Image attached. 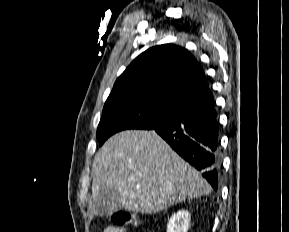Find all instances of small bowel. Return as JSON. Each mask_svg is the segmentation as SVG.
<instances>
[{
    "mask_svg": "<svg viewBox=\"0 0 289 232\" xmlns=\"http://www.w3.org/2000/svg\"><path fill=\"white\" fill-rule=\"evenodd\" d=\"M128 230L126 228H120L115 226H109L107 227L103 232H127Z\"/></svg>",
    "mask_w": 289,
    "mask_h": 232,
    "instance_id": "obj_1",
    "label": "small bowel"
}]
</instances>
